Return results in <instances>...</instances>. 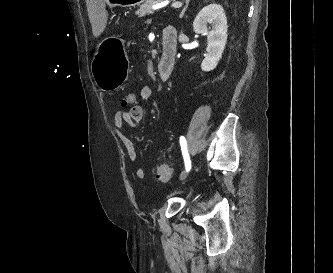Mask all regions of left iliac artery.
Masks as SVG:
<instances>
[{
    "label": "left iliac artery",
    "instance_id": "left-iliac-artery-1",
    "mask_svg": "<svg viewBox=\"0 0 333 273\" xmlns=\"http://www.w3.org/2000/svg\"><path fill=\"white\" fill-rule=\"evenodd\" d=\"M180 146H181V151L184 159V164H185V169L186 172H189L191 169V160L190 156L187 150V142L184 136H180Z\"/></svg>",
    "mask_w": 333,
    "mask_h": 273
}]
</instances>
